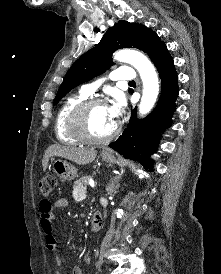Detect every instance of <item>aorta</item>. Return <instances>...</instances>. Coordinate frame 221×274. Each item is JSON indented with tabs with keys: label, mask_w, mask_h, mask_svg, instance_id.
Listing matches in <instances>:
<instances>
[{
	"label": "aorta",
	"mask_w": 221,
	"mask_h": 274,
	"mask_svg": "<svg viewBox=\"0 0 221 274\" xmlns=\"http://www.w3.org/2000/svg\"><path fill=\"white\" fill-rule=\"evenodd\" d=\"M114 59L118 62L131 64L139 72L143 82L139 112L142 115L149 113L156 102L159 92L158 76L154 66L144 54L131 49L117 51L114 54Z\"/></svg>",
	"instance_id": "aorta-1"
}]
</instances>
